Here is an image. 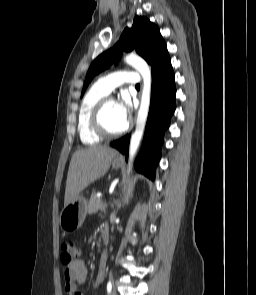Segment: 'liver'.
Wrapping results in <instances>:
<instances>
[{
    "mask_svg": "<svg viewBox=\"0 0 256 295\" xmlns=\"http://www.w3.org/2000/svg\"><path fill=\"white\" fill-rule=\"evenodd\" d=\"M117 151L108 146H91L74 152L67 175L64 206L86 187L103 177Z\"/></svg>",
    "mask_w": 256,
    "mask_h": 295,
    "instance_id": "1",
    "label": "liver"
}]
</instances>
